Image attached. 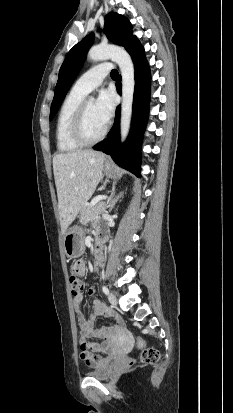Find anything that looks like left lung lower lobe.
Masks as SVG:
<instances>
[{"label": "left lung lower lobe", "instance_id": "obj_1", "mask_svg": "<svg viewBox=\"0 0 233 413\" xmlns=\"http://www.w3.org/2000/svg\"><path fill=\"white\" fill-rule=\"evenodd\" d=\"M128 52L135 64L133 119L130 136L126 143L120 147V107H118L115 124L110 130L108 138L95 146L94 149L109 154L119 166L140 177L141 144L149 114L151 76L143 46L139 43ZM117 90L121 94V79L117 81Z\"/></svg>", "mask_w": 233, "mask_h": 413}]
</instances>
